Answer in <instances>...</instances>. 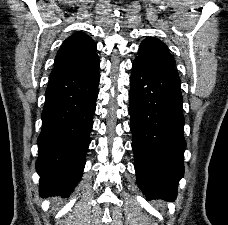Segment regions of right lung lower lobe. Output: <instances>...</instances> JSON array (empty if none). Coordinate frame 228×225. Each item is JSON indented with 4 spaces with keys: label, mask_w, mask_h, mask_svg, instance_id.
<instances>
[{
    "label": "right lung lower lobe",
    "mask_w": 228,
    "mask_h": 225,
    "mask_svg": "<svg viewBox=\"0 0 228 225\" xmlns=\"http://www.w3.org/2000/svg\"><path fill=\"white\" fill-rule=\"evenodd\" d=\"M99 63L96 54L51 73L36 161L41 196H67L81 179L98 95Z\"/></svg>",
    "instance_id": "1"
}]
</instances>
